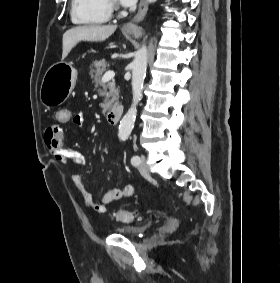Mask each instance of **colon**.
<instances>
[{"label":"colon","instance_id":"obj_1","mask_svg":"<svg viewBox=\"0 0 280 283\" xmlns=\"http://www.w3.org/2000/svg\"><path fill=\"white\" fill-rule=\"evenodd\" d=\"M55 119L58 122V125H69V122L72 119L70 107L56 108ZM115 217L122 222H132L139 218V212L120 210L115 213Z\"/></svg>","mask_w":280,"mask_h":283}]
</instances>
